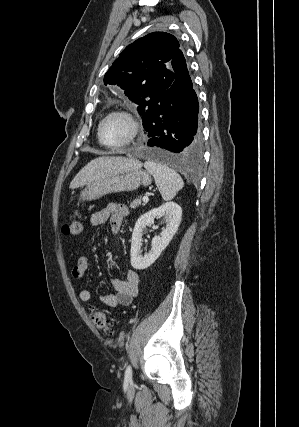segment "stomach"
Masks as SVG:
<instances>
[{
  "instance_id": "obj_1",
  "label": "stomach",
  "mask_w": 299,
  "mask_h": 427,
  "mask_svg": "<svg viewBox=\"0 0 299 427\" xmlns=\"http://www.w3.org/2000/svg\"><path fill=\"white\" fill-rule=\"evenodd\" d=\"M152 182L150 174L140 168L106 176L97 181L89 183L79 196V201H92L105 195L134 191L140 185L148 186Z\"/></svg>"
}]
</instances>
